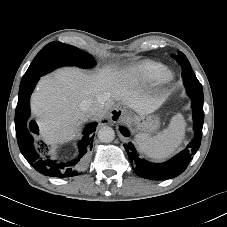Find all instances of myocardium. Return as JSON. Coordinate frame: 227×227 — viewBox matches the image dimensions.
<instances>
[{
	"label": "myocardium",
	"mask_w": 227,
	"mask_h": 227,
	"mask_svg": "<svg viewBox=\"0 0 227 227\" xmlns=\"http://www.w3.org/2000/svg\"><path fill=\"white\" fill-rule=\"evenodd\" d=\"M170 77L168 76V77H166V79L168 80Z\"/></svg>",
	"instance_id": "f54148a6"
}]
</instances>
